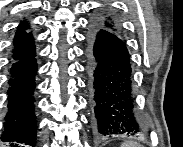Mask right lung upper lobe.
<instances>
[{"instance_id":"cb5924a9","label":"right lung upper lobe","mask_w":183,"mask_h":147,"mask_svg":"<svg viewBox=\"0 0 183 147\" xmlns=\"http://www.w3.org/2000/svg\"><path fill=\"white\" fill-rule=\"evenodd\" d=\"M29 28L26 22H22L14 37V48L12 51V59H24L35 53V45L33 42L32 34L27 33L26 29Z\"/></svg>"}]
</instances>
